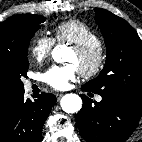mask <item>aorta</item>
Listing matches in <instances>:
<instances>
[{"label":"aorta","mask_w":142,"mask_h":142,"mask_svg":"<svg viewBox=\"0 0 142 142\" xmlns=\"http://www.w3.org/2000/svg\"><path fill=\"white\" fill-rule=\"evenodd\" d=\"M66 50L67 48L64 46H56L52 51V58L54 61L62 62L63 55ZM60 104L63 111L66 113H76L82 107V100L77 94L70 93L62 97Z\"/></svg>","instance_id":"obj_1"}]
</instances>
